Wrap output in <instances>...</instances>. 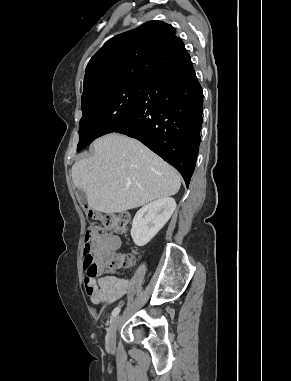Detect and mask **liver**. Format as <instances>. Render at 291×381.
I'll use <instances>...</instances> for the list:
<instances>
[{"label":"liver","instance_id":"1","mask_svg":"<svg viewBox=\"0 0 291 381\" xmlns=\"http://www.w3.org/2000/svg\"><path fill=\"white\" fill-rule=\"evenodd\" d=\"M94 155L72 166L74 186L85 191L93 210L112 214L175 195V169L136 139L117 133L94 143Z\"/></svg>","mask_w":291,"mask_h":381}]
</instances>
